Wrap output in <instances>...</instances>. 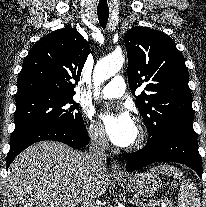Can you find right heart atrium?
Listing matches in <instances>:
<instances>
[{
    "label": "right heart atrium",
    "instance_id": "d8ad5b80",
    "mask_svg": "<svg viewBox=\"0 0 206 207\" xmlns=\"http://www.w3.org/2000/svg\"><path fill=\"white\" fill-rule=\"evenodd\" d=\"M87 132L92 143L98 147L106 145V137L103 130L94 122L91 116H86Z\"/></svg>",
    "mask_w": 206,
    "mask_h": 207
}]
</instances>
